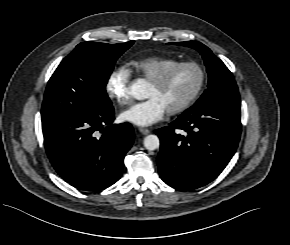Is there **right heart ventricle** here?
Listing matches in <instances>:
<instances>
[{"label": "right heart ventricle", "mask_w": 290, "mask_h": 245, "mask_svg": "<svg viewBox=\"0 0 290 245\" xmlns=\"http://www.w3.org/2000/svg\"><path fill=\"white\" fill-rule=\"evenodd\" d=\"M174 58L162 56H149L142 59H133L127 63L129 72L139 77L151 80L166 68L178 63Z\"/></svg>", "instance_id": "e07e8e85"}]
</instances>
